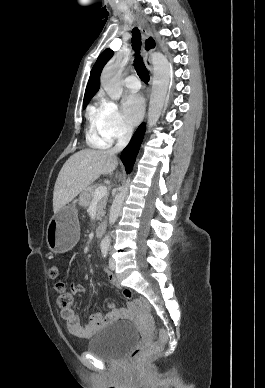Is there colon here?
<instances>
[{
  "label": "colon",
  "mask_w": 265,
  "mask_h": 388,
  "mask_svg": "<svg viewBox=\"0 0 265 388\" xmlns=\"http://www.w3.org/2000/svg\"><path fill=\"white\" fill-rule=\"evenodd\" d=\"M59 273H60V269L58 266H53L50 269V276L53 278H56L59 275ZM55 289L58 294L57 296L58 307L61 309L71 308L74 304L73 292L70 289H68L66 285L62 282H58L55 285ZM123 295L127 299H134L145 313L147 314L150 313V305L145 299L141 297H134L133 293L128 289H125L123 291ZM166 340H167L166 331L164 329H160L159 340L149 344L146 348L134 349L130 355V360L134 363L139 362L145 356L156 352L160 348L161 343L165 342Z\"/></svg>",
  "instance_id": "colon-1"
}]
</instances>
